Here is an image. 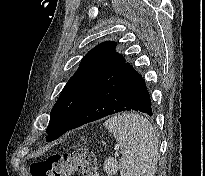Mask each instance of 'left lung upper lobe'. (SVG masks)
<instances>
[{"label": "left lung upper lobe", "instance_id": "5c2ea615", "mask_svg": "<svg viewBox=\"0 0 205 176\" xmlns=\"http://www.w3.org/2000/svg\"><path fill=\"white\" fill-rule=\"evenodd\" d=\"M124 63L125 59L115 52L114 42H103L88 52L51 110L47 142L68 130L80 106Z\"/></svg>", "mask_w": 205, "mask_h": 176}]
</instances>
